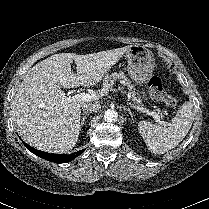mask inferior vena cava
Returning a JSON list of instances; mask_svg holds the SVG:
<instances>
[{
	"instance_id": "602c4592",
	"label": "inferior vena cava",
	"mask_w": 209,
	"mask_h": 209,
	"mask_svg": "<svg viewBox=\"0 0 209 209\" xmlns=\"http://www.w3.org/2000/svg\"><path fill=\"white\" fill-rule=\"evenodd\" d=\"M101 108L100 104L97 103H84L82 109L87 112H97Z\"/></svg>"
}]
</instances>
